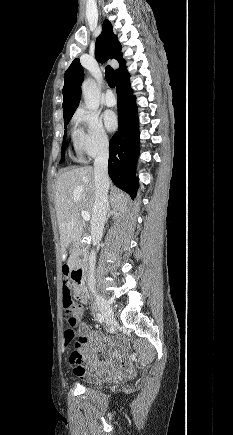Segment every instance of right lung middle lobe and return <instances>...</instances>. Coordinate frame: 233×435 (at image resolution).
Here are the masks:
<instances>
[{"label": "right lung middle lobe", "instance_id": "1", "mask_svg": "<svg viewBox=\"0 0 233 435\" xmlns=\"http://www.w3.org/2000/svg\"><path fill=\"white\" fill-rule=\"evenodd\" d=\"M71 117L72 116L64 117V121H65L64 128L65 129H66V125L69 123ZM65 139H66V130L64 133L63 144H62V149H61V161H60V163H62L64 156H65Z\"/></svg>", "mask_w": 233, "mask_h": 435}]
</instances>
